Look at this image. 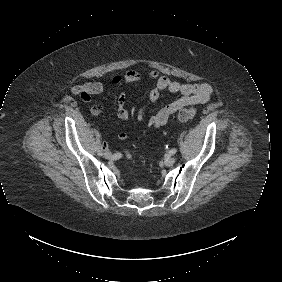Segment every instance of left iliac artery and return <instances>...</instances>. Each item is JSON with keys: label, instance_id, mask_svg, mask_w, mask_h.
<instances>
[{"label": "left iliac artery", "instance_id": "obj_1", "mask_svg": "<svg viewBox=\"0 0 282 282\" xmlns=\"http://www.w3.org/2000/svg\"><path fill=\"white\" fill-rule=\"evenodd\" d=\"M176 152H177V149H176V148H173V149H171V150L169 151V153H170L171 155L175 154Z\"/></svg>", "mask_w": 282, "mask_h": 282}]
</instances>
